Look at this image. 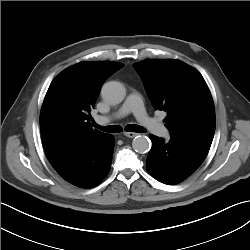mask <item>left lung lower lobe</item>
<instances>
[{
	"mask_svg": "<svg viewBox=\"0 0 250 250\" xmlns=\"http://www.w3.org/2000/svg\"><path fill=\"white\" fill-rule=\"evenodd\" d=\"M152 148L147 170L158 181L176 184L190 176L206 158L212 140L171 136L169 141L149 135Z\"/></svg>",
	"mask_w": 250,
	"mask_h": 250,
	"instance_id": "1",
	"label": "left lung lower lobe"
}]
</instances>
